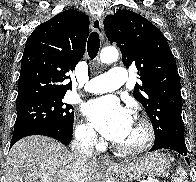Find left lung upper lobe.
<instances>
[{
  "label": "left lung upper lobe",
  "mask_w": 196,
  "mask_h": 182,
  "mask_svg": "<svg viewBox=\"0 0 196 182\" xmlns=\"http://www.w3.org/2000/svg\"><path fill=\"white\" fill-rule=\"evenodd\" d=\"M104 29L109 41L120 48L124 65L138 69L141 84H136L133 95L152 122L155 142L165 138L184 140L180 77L162 32L129 10L107 16Z\"/></svg>",
  "instance_id": "obj_1"
}]
</instances>
